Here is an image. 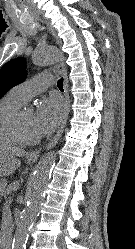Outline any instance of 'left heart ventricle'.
Masks as SVG:
<instances>
[{"instance_id":"1","label":"left heart ventricle","mask_w":135,"mask_h":249,"mask_svg":"<svg viewBox=\"0 0 135 249\" xmlns=\"http://www.w3.org/2000/svg\"><path fill=\"white\" fill-rule=\"evenodd\" d=\"M20 126L23 133L28 137H37L39 134L35 127V113L30 109H25L20 118Z\"/></svg>"}]
</instances>
